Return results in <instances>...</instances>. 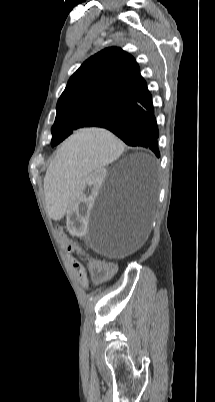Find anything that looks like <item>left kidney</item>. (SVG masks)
Here are the masks:
<instances>
[{"instance_id":"left-kidney-1","label":"left kidney","mask_w":215,"mask_h":402,"mask_svg":"<svg viewBox=\"0 0 215 402\" xmlns=\"http://www.w3.org/2000/svg\"><path fill=\"white\" fill-rule=\"evenodd\" d=\"M106 176L104 169H99L91 178H85L80 185V191L73 193L72 204L67 218V225L71 231L72 239L84 240L86 237V225L88 215L86 212L91 207V202L96 200L97 193L101 191V180Z\"/></svg>"}]
</instances>
